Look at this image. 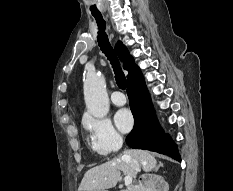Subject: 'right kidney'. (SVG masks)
<instances>
[{
	"mask_svg": "<svg viewBox=\"0 0 233 191\" xmlns=\"http://www.w3.org/2000/svg\"><path fill=\"white\" fill-rule=\"evenodd\" d=\"M169 185L163 176H154L145 191H168Z\"/></svg>",
	"mask_w": 233,
	"mask_h": 191,
	"instance_id": "ca27d5eb",
	"label": "right kidney"
}]
</instances>
